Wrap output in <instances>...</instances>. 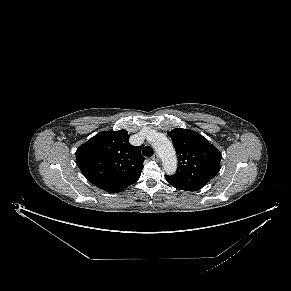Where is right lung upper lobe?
I'll use <instances>...</instances> for the list:
<instances>
[{"label":"right lung upper lobe","instance_id":"1","mask_svg":"<svg viewBox=\"0 0 291 291\" xmlns=\"http://www.w3.org/2000/svg\"><path fill=\"white\" fill-rule=\"evenodd\" d=\"M128 138L126 130L104 131L77 149L76 163L92 184L117 193L139 179L144 157Z\"/></svg>","mask_w":291,"mask_h":291}]
</instances>
